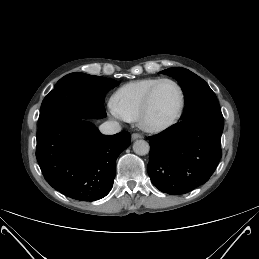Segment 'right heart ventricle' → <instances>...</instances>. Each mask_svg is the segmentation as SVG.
Here are the masks:
<instances>
[{
    "mask_svg": "<svg viewBox=\"0 0 259 259\" xmlns=\"http://www.w3.org/2000/svg\"><path fill=\"white\" fill-rule=\"evenodd\" d=\"M159 78H144L121 86L113 96V103L126 121L138 119L145 96Z\"/></svg>",
    "mask_w": 259,
    "mask_h": 259,
    "instance_id": "obj_1",
    "label": "right heart ventricle"
}]
</instances>
